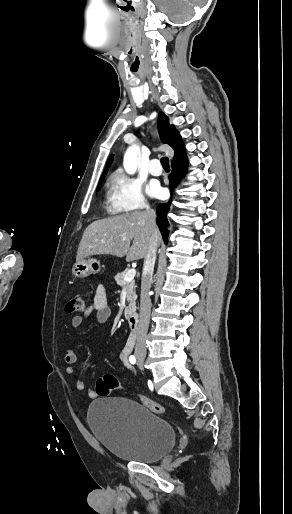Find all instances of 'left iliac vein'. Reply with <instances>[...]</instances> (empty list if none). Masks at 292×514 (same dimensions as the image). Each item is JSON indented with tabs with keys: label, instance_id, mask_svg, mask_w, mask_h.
Listing matches in <instances>:
<instances>
[{
	"label": "left iliac vein",
	"instance_id": "4c4485c4",
	"mask_svg": "<svg viewBox=\"0 0 292 514\" xmlns=\"http://www.w3.org/2000/svg\"><path fill=\"white\" fill-rule=\"evenodd\" d=\"M138 367H139L141 370H143V365H141V364H139V363H138Z\"/></svg>",
	"mask_w": 292,
	"mask_h": 514
}]
</instances>
